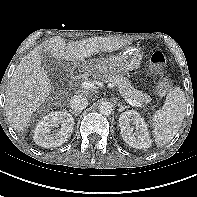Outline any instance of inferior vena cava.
<instances>
[{
  "label": "inferior vena cava",
  "instance_id": "inferior-vena-cava-1",
  "mask_svg": "<svg viewBox=\"0 0 197 197\" xmlns=\"http://www.w3.org/2000/svg\"><path fill=\"white\" fill-rule=\"evenodd\" d=\"M70 108L75 113H80L88 105V100L83 95H74L69 101Z\"/></svg>",
  "mask_w": 197,
  "mask_h": 197
}]
</instances>
